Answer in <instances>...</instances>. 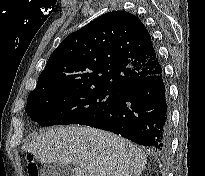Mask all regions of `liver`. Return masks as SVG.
Returning a JSON list of instances; mask_svg holds the SVG:
<instances>
[{
    "label": "liver",
    "mask_w": 205,
    "mask_h": 176,
    "mask_svg": "<svg viewBox=\"0 0 205 176\" xmlns=\"http://www.w3.org/2000/svg\"><path fill=\"white\" fill-rule=\"evenodd\" d=\"M22 149L45 164L74 165L73 176H139L147 164L146 154L132 142L90 127H53Z\"/></svg>",
    "instance_id": "1"
}]
</instances>
